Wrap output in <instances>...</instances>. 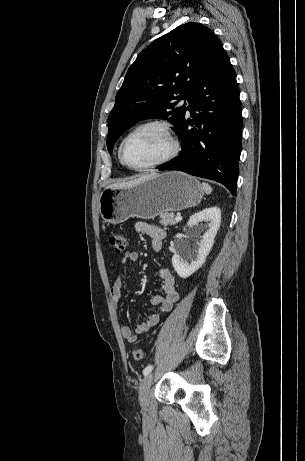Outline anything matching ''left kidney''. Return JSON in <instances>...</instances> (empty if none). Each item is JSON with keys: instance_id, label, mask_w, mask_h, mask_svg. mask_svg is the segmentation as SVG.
<instances>
[{"instance_id": "5707ae66", "label": "left kidney", "mask_w": 305, "mask_h": 461, "mask_svg": "<svg viewBox=\"0 0 305 461\" xmlns=\"http://www.w3.org/2000/svg\"><path fill=\"white\" fill-rule=\"evenodd\" d=\"M204 222V224H203ZM221 223L220 208L214 206L206 208L192 215L187 223L188 227L195 229H207L203 235L200 236V244L197 250L192 252L187 244L181 243L178 250L172 257V265L181 278H187L196 272L205 263L213 243L214 238ZM186 228H184V231ZM189 255L192 260L190 263L185 261V256Z\"/></svg>"}]
</instances>
